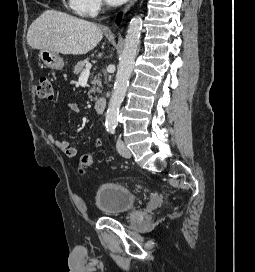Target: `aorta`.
Returning <instances> with one entry per match:
<instances>
[{"instance_id":"aorta-1","label":"aorta","mask_w":255,"mask_h":272,"mask_svg":"<svg viewBox=\"0 0 255 272\" xmlns=\"http://www.w3.org/2000/svg\"><path fill=\"white\" fill-rule=\"evenodd\" d=\"M142 25L143 20L139 16L131 19L129 23L124 49L119 57L111 100L105 115V126L107 129H113L118 124L119 109L129 85V79L134 68L135 58L140 45Z\"/></svg>"}]
</instances>
